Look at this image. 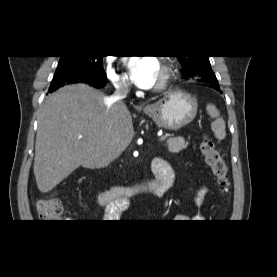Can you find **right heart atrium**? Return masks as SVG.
Wrapping results in <instances>:
<instances>
[{
	"mask_svg": "<svg viewBox=\"0 0 277 277\" xmlns=\"http://www.w3.org/2000/svg\"><path fill=\"white\" fill-rule=\"evenodd\" d=\"M106 72L109 80L113 83V85L117 88H122L127 86L128 78L125 74L119 73L116 68L113 59H108L106 61Z\"/></svg>",
	"mask_w": 277,
	"mask_h": 277,
	"instance_id": "obj_1",
	"label": "right heart atrium"
}]
</instances>
